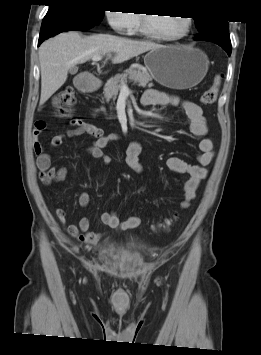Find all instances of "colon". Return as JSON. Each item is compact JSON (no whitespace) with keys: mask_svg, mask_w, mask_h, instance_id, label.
Listing matches in <instances>:
<instances>
[{"mask_svg":"<svg viewBox=\"0 0 261 355\" xmlns=\"http://www.w3.org/2000/svg\"><path fill=\"white\" fill-rule=\"evenodd\" d=\"M221 82L222 75L217 74L213 80L212 85L206 89L201 96V103L203 105L211 106L216 102L220 91ZM74 104L75 96L71 87H64L60 89L53 97V105L61 117H70ZM176 219V215L168 218L164 222L158 224L157 228L160 230H168L174 224Z\"/></svg>","mask_w":261,"mask_h":355,"instance_id":"1","label":"colon"}]
</instances>
